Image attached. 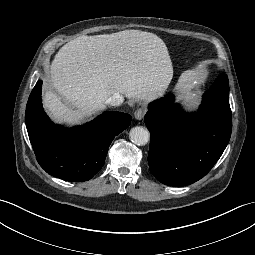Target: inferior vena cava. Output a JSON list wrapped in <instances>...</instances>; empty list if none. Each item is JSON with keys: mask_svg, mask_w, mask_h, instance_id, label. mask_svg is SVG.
Segmentation results:
<instances>
[{"mask_svg": "<svg viewBox=\"0 0 255 255\" xmlns=\"http://www.w3.org/2000/svg\"><path fill=\"white\" fill-rule=\"evenodd\" d=\"M123 103V97L119 93H115L106 100V104L110 106H119Z\"/></svg>", "mask_w": 255, "mask_h": 255, "instance_id": "602c4592", "label": "inferior vena cava"}]
</instances>
